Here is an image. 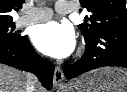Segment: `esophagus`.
<instances>
[{
    "instance_id": "esophagus-1",
    "label": "esophagus",
    "mask_w": 127,
    "mask_h": 92,
    "mask_svg": "<svg viewBox=\"0 0 127 92\" xmlns=\"http://www.w3.org/2000/svg\"><path fill=\"white\" fill-rule=\"evenodd\" d=\"M53 84L56 88H62L65 85L64 84V73H63L61 67H59V66L55 67Z\"/></svg>"
}]
</instances>
